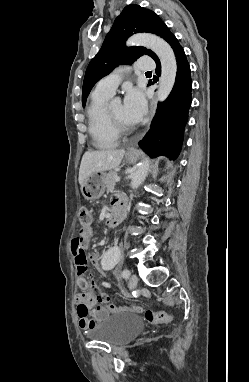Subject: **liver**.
I'll return each mask as SVG.
<instances>
[{
	"mask_svg": "<svg viewBox=\"0 0 249 382\" xmlns=\"http://www.w3.org/2000/svg\"><path fill=\"white\" fill-rule=\"evenodd\" d=\"M125 154L124 149L87 151L84 153L79 169V184L92 173L103 172L117 168Z\"/></svg>",
	"mask_w": 249,
	"mask_h": 382,
	"instance_id": "obj_1",
	"label": "liver"
}]
</instances>
